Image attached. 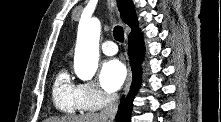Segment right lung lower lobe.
<instances>
[{
  "mask_svg": "<svg viewBox=\"0 0 221 122\" xmlns=\"http://www.w3.org/2000/svg\"><path fill=\"white\" fill-rule=\"evenodd\" d=\"M128 54L132 68V84L128 96L120 100V105L116 115V122H130L131 109L133 108V99L139 88L140 64L143 59L144 47L142 34L139 30L129 34Z\"/></svg>",
  "mask_w": 221,
  "mask_h": 122,
  "instance_id": "98d812e1",
  "label": "right lung lower lobe"
}]
</instances>
